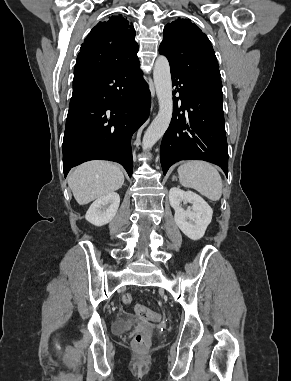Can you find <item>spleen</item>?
<instances>
[{
	"label": "spleen",
	"mask_w": 291,
	"mask_h": 381,
	"mask_svg": "<svg viewBox=\"0 0 291 381\" xmlns=\"http://www.w3.org/2000/svg\"><path fill=\"white\" fill-rule=\"evenodd\" d=\"M180 184L192 188L212 201L222 195V179L217 169L205 161H188L178 168Z\"/></svg>",
	"instance_id": "1"
}]
</instances>
